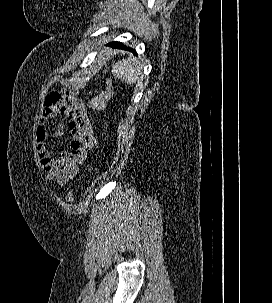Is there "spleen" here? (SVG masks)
Masks as SVG:
<instances>
[{
	"label": "spleen",
	"instance_id": "obj_1",
	"mask_svg": "<svg viewBox=\"0 0 272 303\" xmlns=\"http://www.w3.org/2000/svg\"><path fill=\"white\" fill-rule=\"evenodd\" d=\"M141 70L142 67L136 59H123L113 66L112 74L114 77L132 85L138 80Z\"/></svg>",
	"mask_w": 272,
	"mask_h": 303
}]
</instances>
